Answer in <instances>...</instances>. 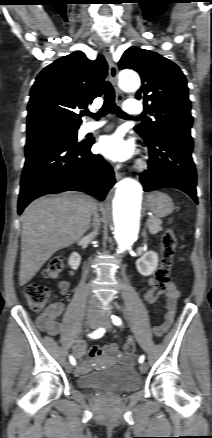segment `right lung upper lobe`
<instances>
[{"label": "right lung upper lobe", "mask_w": 212, "mask_h": 438, "mask_svg": "<svg viewBox=\"0 0 212 438\" xmlns=\"http://www.w3.org/2000/svg\"><path fill=\"white\" fill-rule=\"evenodd\" d=\"M107 63L89 60L81 51L57 59L37 76L30 92L27 130L46 126L79 127L87 107L102 95Z\"/></svg>", "instance_id": "1"}]
</instances>
